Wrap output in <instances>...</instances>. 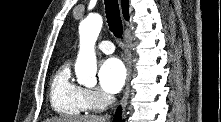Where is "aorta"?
Here are the masks:
<instances>
[{
    "label": "aorta",
    "mask_w": 221,
    "mask_h": 122,
    "mask_svg": "<svg viewBox=\"0 0 221 122\" xmlns=\"http://www.w3.org/2000/svg\"><path fill=\"white\" fill-rule=\"evenodd\" d=\"M103 24L101 15L90 14L79 26L80 50L75 64L79 84L92 87L96 84L97 63L94 45Z\"/></svg>",
    "instance_id": "obj_1"
}]
</instances>
